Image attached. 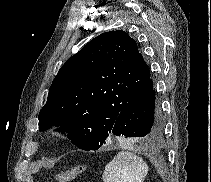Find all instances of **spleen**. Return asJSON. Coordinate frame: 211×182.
<instances>
[{
	"label": "spleen",
	"mask_w": 211,
	"mask_h": 182,
	"mask_svg": "<svg viewBox=\"0 0 211 182\" xmlns=\"http://www.w3.org/2000/svg\"><path fill=\"white\" fill-rule=\"evenodd\" d=\"M148 173L144 160L129 151L119 152L106 164L103 182H143Z\"/></svg>",
	"instance_id": "spleen-1"
}]
</instances>
